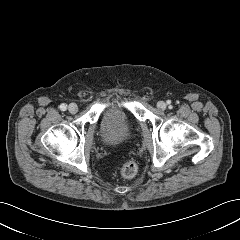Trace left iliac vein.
<instances>
[{
  "label": "left iliac vein",
  "instance_id": "left-iliac-vein-1",
  "mask_svg": "<svg viewBox=\"0 0 240 240\" xmlns=\"http://www.w3.org/2000/svg\"><path fill=\"white\" fill-rule=\"evenodd\" d=\"M157 107H158L160 110H165L166 107H167V105H166V103H165L164 101H159V102L157 103Z\"/></svg>",
  "mask_w": 240,
  "mask_h": 240
}]
</instances>
